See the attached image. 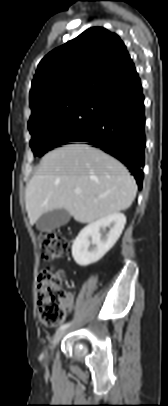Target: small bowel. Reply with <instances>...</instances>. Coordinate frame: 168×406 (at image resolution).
Masks as SVG:
<instances>
[{"instance_id": "1", "label": "small bowel", "mask_w": 168, "mask_h": 406, "mask_svg": "<svg viewBox=\"0 0 168 406\" xmlns=\"http://www.w3.org/2000/svg\"><path fill=\"white\" fill-rule=\"evenodd\" d=\"M74 307V298L71 293H68L64 299V309L66 312H69Z\"/></svg>"}]
</instances>
